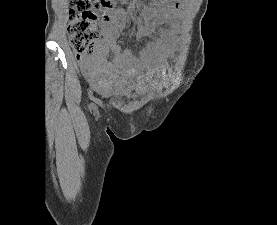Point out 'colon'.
I'll return each instance as SVG.
<instances>
[{
    "mask_svg": "<svg viewBox=\"0 0 277 225\" xmlns=\"http://www.w3.org/2000/svg\"><path fill=\"white\" fill-rule=\"evenodd\" d=\"M71 11L68 31L70 44L78 55H89L100 49V31L96 21L108 14L109 0H70Z\"/></svg>",
    "mask_w": 277,
    "mask_h": 225,
    "instance_id": "colon-1",
    "label": "colon"
}]
</instances>
